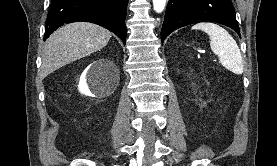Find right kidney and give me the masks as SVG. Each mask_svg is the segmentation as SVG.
<instances>
[{"mask_svg": "<svg viewBox=\"0 0 277 166\" xmlns=\"http://www.w3.org/2000/svg\"><path fill=\"white\" fill-rule=\"evenodd\" d=\"M105 60H99L98 62H95V64H98L99 66H102L103 63H105ZM93 74L94 71L91 67V65L84 71L80 78L79 82V90L82 94L92 96L88 84L93 81Z\"/></svg>", "mask_w": 277, "mask_h": 166, "instance_id": "1", "label": "right kidney"}]
</instances>
